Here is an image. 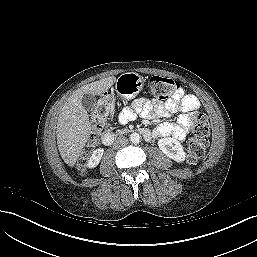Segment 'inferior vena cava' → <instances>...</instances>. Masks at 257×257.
Masks as SVG:
<instances>
[{"label": "inferior vena cava", "mask_w": 257, "mask_h": 257, "mask_svg": "<svg viewBox=\"0 0 257 257\" xmlns=\"http://www.w3.org/2000/svg\"><path fill=\"white\" fill-rule=\"evenodd\" d=\"M128 144V139L125 136H119L114 142V148H120Z\"/></svg>", "instance_id": "inferior-vena-cava-1"}]
</instances>
